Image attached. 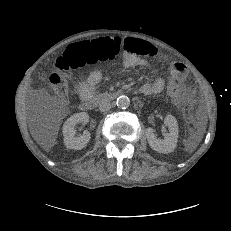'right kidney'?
I'll list each match as a JSON object with an SVG mask.
<instances>
[{
	"label": "right kidney",
	"instance_id": "right-kidney-1",
	"mask_svg": "<svg viewBox=\"0 0 231 231\" xmlns=\"http://www.w3.org/2000/svg\"><path fill=\"white\" fill-rule=\"evenodd\" d=\"M89 115L85 112H80L70 116L63 125L64 144L69 149L81 150L90 141V132L85 130L82 135L76 136L74 126L77 123L87 124Z\"/></svg>",
	"mask_w": 231,
	"mask_h": 231
}]
</instances>
